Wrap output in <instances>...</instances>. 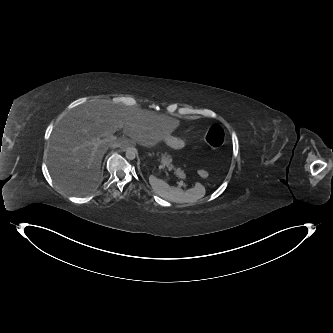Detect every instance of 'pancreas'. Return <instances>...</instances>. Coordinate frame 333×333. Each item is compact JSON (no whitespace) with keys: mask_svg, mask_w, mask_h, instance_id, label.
Instances as JSON below:
<instances>
[{"mask_svg":"<svg viewBox=\"0 0 333 333\" xmlns=\"http://www.w3.org/2000/svg\"><path fill=\"white\" fill-rule=\"evenodd\" d=\"M159 160H160L162 167L166 166L168 168V170H174V173H175V170H178V173H175L177 177H179L181 179H184L186 177L183 170H181L180 168L174 167V165L172 164L173 159H172L171 155L164 153V154H162V156Z\"/></svg>","mask_w":333,"mask_h":333,"instance_id":"obj_1","label":"pancreas"}]
</instances>
